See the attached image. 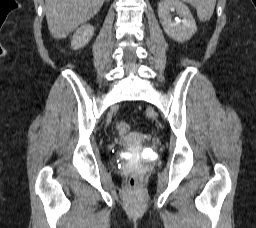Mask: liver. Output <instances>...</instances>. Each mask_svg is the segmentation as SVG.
<instances>
[{
    "label": "liver",
    "instance_id": "liver-1",
    "mask_svg": "<svg viewBox=\"0 0 256 228\" xmlns=\"http://www.w3.org/2000/svg\"><path fill=\"white\" fill-rule=\"evenodd\" d=\"M105 0H45L50 34L63 39L96 15Z\"/></svg>",
    "mask_w": 256,
    "mask_h": 228
}]
</instances>
